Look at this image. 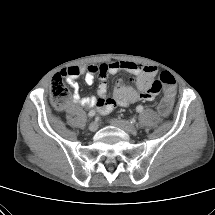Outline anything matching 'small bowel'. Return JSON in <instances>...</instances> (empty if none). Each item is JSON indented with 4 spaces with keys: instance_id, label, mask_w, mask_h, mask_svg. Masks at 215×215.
<instances>
[{
    "instance_id": "c3829d8e",
    "label": "small bowel",
    "mask_w": 215,
    "mask_h": 215,
    "mask_svg": "<svg viewBox=\"0 0 215 215\" xmlns=\"http://www.w3.org/2000/svg\"><path fill=\"white\" fill-rule=\"evenodd\" d=\"M126 71L135 76L137 88L117 83L111 97L108 96L107 78L109 74ZM157 68L152 65H143L132 61H115L101 65L71 66L61 71L73 89L71 101L85 107H96L101 114H109L116 106L126 107L138 101H152L156 94L151 91ZM83 76L88 85L99 78L98 96L82 97L77 79Z\"/></svg>"
}]
</instances>
